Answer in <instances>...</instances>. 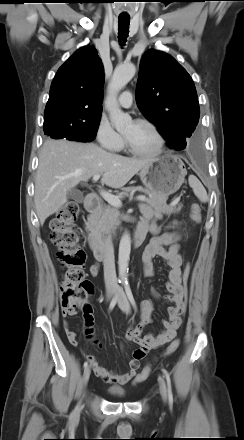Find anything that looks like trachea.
<instances>
[{"label":"trachea","instance_id":"3493384b","mask_svg":"<svg viewBox=\"0 0 244 440\" xmlns=\"http://www.w3.org/2000/svg\"><path fill=\"white\" fill-rule=\"evenodd\" d=\"M129 18L118 19V39L121 45H124L129 34Z\"/></svg>","mask_w":244,"mask_h":440}]
</instances>
